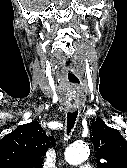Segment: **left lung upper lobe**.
Instances as JSON below:
<instances>
[{
	"instance_id": "5c2ea615",
	"label": "left lung upper lobe",
	"mask_w": 127,
	"mask_h": 168,
	"mask_svg": "<svg viewBox=\"0 0 127 168\" xmlns=\"http://www.w3.org/2000/svg\"><path fill=\"white\" fill-rule=\"evenodd\" d=\"M90 140L97 157V168H127V141L101 118L90 121Z\"/></svg>"
}]
</instances>
